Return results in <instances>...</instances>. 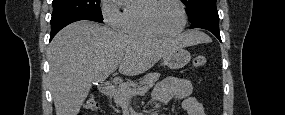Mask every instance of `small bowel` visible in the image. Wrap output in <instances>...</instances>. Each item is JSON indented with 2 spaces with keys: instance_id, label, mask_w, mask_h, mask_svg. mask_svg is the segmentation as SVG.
<instances>
[{
  "instance_id": "small-bowel-1",
  "label": "small bowel",
  "mask_w": 285,
  "mask_h": 115,
  "mask_svg": "<svg viewBox=\"0 0 285 115\" xmlns=\"http://www.w3.org/2000/svg\"><path fill=\"white\" fill-rule=\"evenodd\" d=\"M193 85L188 79L168 77L160 81L152 91V101L166 105L174 98L183 99V108L188 115H205L202 104L192 96Z\"/></svg>"
}]
</instances>
